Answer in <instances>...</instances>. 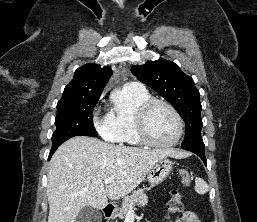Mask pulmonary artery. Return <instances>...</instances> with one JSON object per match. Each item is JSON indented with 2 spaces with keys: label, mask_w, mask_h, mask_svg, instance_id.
<instances>
[{
  "label": "pulmonary artery",
  "mask_w": 257,
  "mask_h": 222,
  "mask_svg": "<svg viewBox=\"0 0 257 222\" xmlns=\"http://www.w3.org/2000/svg\"><path fill=\"white\" fill-rule=\"evenodd\" d=\"M126 86L129 87V88L140 89V90L145 89L144 86H143V84L140 83V82H138V81L128 82V83L126 84Z\"/></svg>",
  "instance_id": "pulmonary-artery-1"
}]
</instances>
